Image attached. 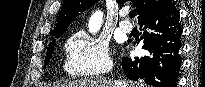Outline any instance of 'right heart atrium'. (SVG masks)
Here are the masks:
<instances>
[{"label":"right heart atrium","instance_id":"1","mask_svg":"<svg viewBox=\"0 0 205 87\" xmlns=\"http://www.w3.org/2000/svg\"><path fill=\"white\" fill-rule=\"evenodd\" d=\"M65 56V70L72 76L95 77L112 68L107 42L86 32H77L68 39Z\"/></svg>","mask_w":205,"mask_h":87}]
</instances>
